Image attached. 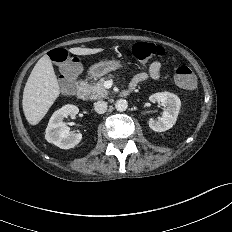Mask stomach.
I'll return each mask as SVG.
<instances>
[{"mask_svg":"<svg viewBox=\"0 0 232 232\" xmlns=\"http://www.w3.org/2000/svg\"><path fill=\"white\" fill-rule=\"evenodd\" d=\"M122 67L121 61L117 59H108L102 60L95 64H93L90 68L88 73L94 77L99 78L102 77L112 71H116Z\"/></svg>","mask_w":232,"mask_h":232,"instance_id":"1","label":"stomach"}]
</instances>
